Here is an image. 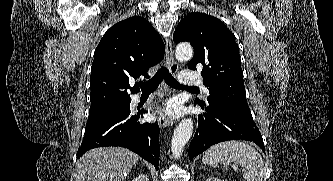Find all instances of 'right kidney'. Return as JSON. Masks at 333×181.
<instances>
[{
  "mask_svg": "<svg viewBox=\"0 0 333 181\" xmlns=\"http://www.w3.org/2000/svg\"><path fill=\"white\" fill-rule=\"evenodd\" d=\"M132 181H149V178L147 175L141 174L134 178Z\"/></svg>",
  "mask_w": 333,
  "mask_h": 181,
  "instance_id": "ca27d5eb",
  "label": "right kidney"
}]
</instances>
